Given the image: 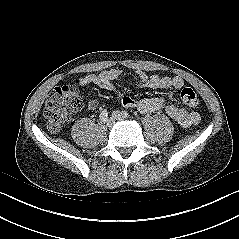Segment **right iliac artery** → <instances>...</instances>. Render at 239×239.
I'll return each mask as SVG.
<instances>
[{
	"label": "right iliac artery",
	"instance_id": "82829eb1",
	"mask_svg": "<svg viewBox=\"0 0 239 239\" xmlns=\"http://www.w3.org/2000/svg\"><path fill=\"white\" fill-rule=\"evenodd\" d=\"M100 120L105 123L108 120V113L106 110H103L100 114Z\"/></svg>",
	"mask_w": 239,
	"mask_h": 239
}]
</instances>
